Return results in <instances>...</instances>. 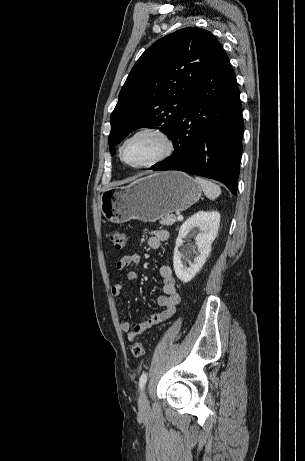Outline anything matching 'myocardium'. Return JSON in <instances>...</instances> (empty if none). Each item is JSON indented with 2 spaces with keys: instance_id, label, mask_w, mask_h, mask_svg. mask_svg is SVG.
Here are the masks:
<instances>
[{
  "instance_id": "obj_1",
  "label": "myocardium",
  "mask_w": 305,
  "mask_h": 461,
  "mask_svg": "<svg viewBox=\"0 0 305 461\" xmlns=\"http://www.w3.org/2000/svg\"><path fill=\"white\" fill-rule=\"evenodd\" d=\"M141 135H153V136L158 137L163 144V149L156 157H154L150 161L145 162L143 164H139V165H132L128 163L124 158V148L129 141ZM174 150H175V143L173 139L171 138V136L168 134V132L164 128L158 125H148V126L138 128L137 130L132 132L130 135H128L123 140V142L121 143L119 147V157H120V160L126 166L130 168L147 169V168L153 167L165 161L166 159H168L173 154Z\"/></svg>"
}]
</instances>
